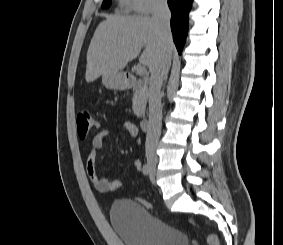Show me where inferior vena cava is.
Returning a JSON list of instances; mask_svg holds the SVG:
<instances>
[{
    "mask_svg": "<svg viewBox=\"0 0 283 245\" xmlns=\"http://www.w3.org/2000/svg\"><path fill=\"white\" fill-rule=\"evenodd\" d=\"M152 17L160 29L163 50L158 64L151 71L149 81V121L145 147L147 159L156 160V147L162 124L161 87L163 80L167 77L172 55L170 50V44L172 43L170 30L171 14L166 0H153Z\"/></svg>",
    "mask_w": 283,
    "mask_h": 245,
    "instance_id": "inferior-vena-cava-1",
    "label": "inferior vena cava"
}]
</instances>
